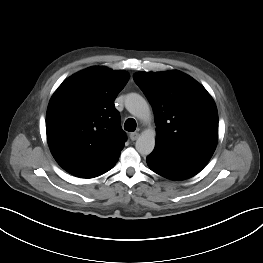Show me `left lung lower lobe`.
<instances>
[{
    "mask_svg": "<svg viewBox=\"0 0 263 263\" xmlns=\"http://www.w3.org/2000/svg\"><path fill=\"white\" fill-rule=\"evenodd\" d=\"M213 153L202 150L174 149L155 145L147 157L149 168L171 180H184L200 172Z\"/></svg>",
    "mask_w": 263,
    "mask_h": 263,
    "instance_id": "1",
    "label": "left lung lower lobe"
}]
</instances>
